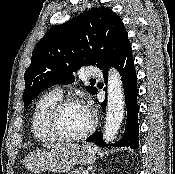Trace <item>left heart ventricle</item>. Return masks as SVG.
<instances>
[{"instance_id": "left-heart-ventricle-1", "label": "left heart ventricle", "mask_w": 175, "mask_h": 174, "mask_svg": "<svg viewBox=\"0 0 175 174\" xmlns=\"http://www.w3.org/2000/svg\"><path fill=\"white\" fill-rule=\"evenodd\" d=\"M91 122L88 108L82 104L66 106L59 117V126L62 132L68 135H77L85 131Z\"/></svg>"}]
</instances>
